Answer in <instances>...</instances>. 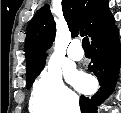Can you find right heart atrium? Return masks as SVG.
Masks as SVG:
<instances>
[{"label": "right heart atrium", "instance_id": "right-heart-atrium-1", "mask_svg": "<svg viewBox=\"0 0 121 113\" xmlns=\"http://www.w3.org/2000/svg\"><path fill=\"white\" fill-rule=\"evenodd\" d=\"M33 99L40 103L47 113H65L77 108V96L69 89L58 69L45 68L35 81Z\"/></svg>", "mask_w": 121, "mask_h": 113}]
</instances>
